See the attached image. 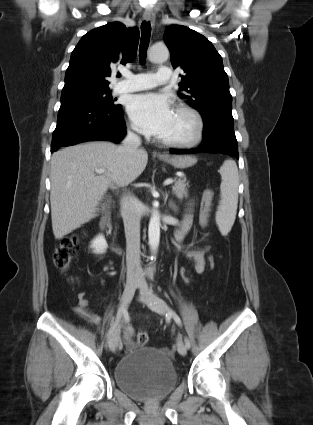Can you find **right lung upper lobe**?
I'll list each match as a JSON object with an SVG mask.
<instances>
[{
    "label": "right lung upper lobe",
    "mask_w": 313,
    "mask_h": 425,
    "mask_svg": "<svg viewBox=\"0 0 313 425\" xmlns=\"http://www.w3.org/2000/svg\"><path fill=\"white\" fill-rule=\"evenodd\" d=\"M139 31L111 22L85 34L73 50L62 94L83 89L109 88L107 77L116 63L132 62L137 54Z\"/></svg>",
    "instance_id": "obj_1"
}]
</instances>
